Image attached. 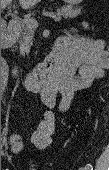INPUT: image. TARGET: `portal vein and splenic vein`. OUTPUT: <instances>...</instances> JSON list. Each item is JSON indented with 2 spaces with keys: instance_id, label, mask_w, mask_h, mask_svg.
<instances>
[{
  "instance_id": "portal-vein-and-splenic-vein-1",
  "label": "portal vein and splenic vein",
  "mask_w": 109,
  "mask_h": 170,
  "mask_svg": "<svg viewBox=\"0 0 109 170\" xmlns=\"http://www.w3.org/2000/svg\"><path fill=\"white\" fill-rule=\"evenodd\" d=\"M8 2H10L11 0H6ZM50 17L52 19H54L55 21H59V18L55 15H50ZM23 22L25 24H27L31 29H36L38 26H39V23L36 19L34 18H31V17H26L23 19Z\"/></svg>"
}]
</instances>
